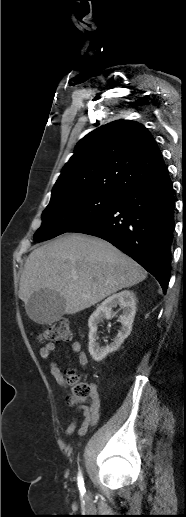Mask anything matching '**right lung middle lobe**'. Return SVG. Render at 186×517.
Here are the masks:
<instances>
[{
	"label": "right lung middle lobe",
	"instance_id": "obj_1",
	"mask_svg": "<svg viewBox=\"0 0 186 517\" xmlns=\"http://www.w3.org/2000/svg\"><path fill=\"white\" fill-rule=\"evenodd\" d=\"M119 198L98 193H78L51 199L42 214V225L33 238L40 242L69 232L113 206Z\"/></svg>",
	"mask_w": 186,
	"mask_h": 517
}]
</instances>
